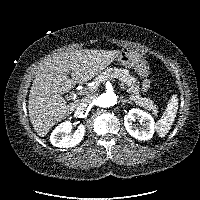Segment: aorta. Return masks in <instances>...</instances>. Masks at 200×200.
<instances>
[{"instance_id":"1","label":"aorta","mask_w":200,"mask_h":200,"mask_svg":"<svg viewBox=\"0 0 200 200\" xmlns=\"http://www.w3.org/2000/svg\"><path fill=\"white\" fill-rule=\"evenodd\" d=\"M117 96L114 92L108 91L99 96L98 102L101 107H111L117 104Z\"/></svg>"}]
</instances>
